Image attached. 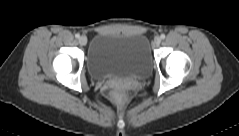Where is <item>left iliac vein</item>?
<instances>
[{
  "mask_svg": "<svg viewBox=\"0 0 239 136\" xmlns=\"http://www.w3.org/2000/svg\"><path fill=\"white\" fill-rule=\"evenodd\" d=\"M160 43H161V39H160L159 37H156V38L154 39V46H159Z\"/></svg>",
  "mask_w": 239,
  "mask_h": 136,
  "instance_id": "4c4485c4",
  "label": "left iliac vein"
}]
</instances>
